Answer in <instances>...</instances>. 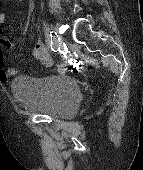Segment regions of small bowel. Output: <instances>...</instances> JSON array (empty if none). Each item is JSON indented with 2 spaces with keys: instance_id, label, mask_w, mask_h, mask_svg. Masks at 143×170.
Wrapping results in <instances>:
<instances>
[{
  "instance_id": "1",
  "label": "small bowel",
  "mask_w": 143,
  "mask_h": 170,
  "mask_svg": "<svg viewBox=\"0 0 143 170\" xmlns=\"http://www.w3.org/2000/svg\"><path fill=\"white\" fill-rule=\"evenodd\" d=\"M5 18V14L0 12V38H2V26L5 22ZM33 56L39 60L44 67H50L52 65V57L41 40H38L35 43L33 48ZM16 74L17 71L14 68H8L5 66L3 61L2 46L0 45V81L7 82L10 77Z\"/></svg>"
}]
</instances>
